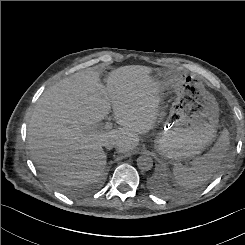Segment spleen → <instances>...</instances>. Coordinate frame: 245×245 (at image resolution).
<instances>
[{
  "label": "spleen",
  "mask_w": 245,
  "mask_h": 245,
  "mask_svg": "<svg viewBox=\"0 0 245 245\" xmlns=\"http://www.w3.org/2000/svg\"><path fill=\"white\" fill-rule=\"evenodd\" d=\"M229 145V132L227 129H223L212 149L194 160L191 167H185L181 164L174 166L173 175L177 184L189 189L201 186L219 168Z\"/></svg>",
  "instance_id": "spleen-1"
}]
</instances>
